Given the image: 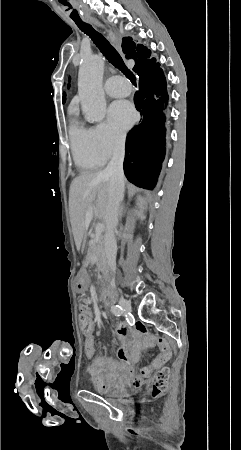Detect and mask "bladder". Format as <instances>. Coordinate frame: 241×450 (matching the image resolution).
<instances>
[{"instance_id": "obj_1", "label": "bladder", "mask_w": 241, "mask_h": 450, "mask_svg": "<svg viewBox=\"0 0 241 450\" xmlns=\"http://www.w3.org/2000/svg\"><path fill=\"white\" fill-rule=\"evenodd\" d=\"M108 393L111 395H119L121 393V390L119 388H113Z\"/></svg>"}]
</instances>
